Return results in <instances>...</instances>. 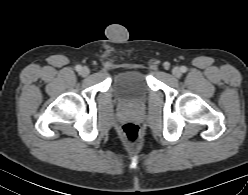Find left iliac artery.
Masks as SVG:
<instances>
[{
	"mask_svg": "<svg viewBox=\"0 0 248 195\" xmlns=\"http://www.w3.org/2000/svg\"><path fill=\"white\" fill-rule=\"evenodd\" d=\"M181 72L185 73L187 71V68L185 66H182L181 68Z\"/></svg>",
	"mask_w": 248,
	"mask_h": 195,
	"instance_id": "1",
	"label": "left iliac artery"
}]
</instances>
